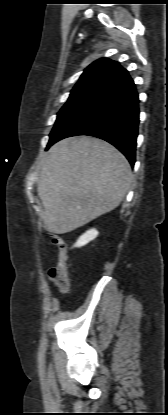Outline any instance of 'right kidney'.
Returning a JSON list of instances; mask_svg holds the SVG:
<instances>
[{
	"label": "right kidney",
	"mask_w": 168,
	"mask_h": 415,
	"mask_svg": "<svg viewBox=\"0 0 168 415\" xmlns=\"http://www.w3.org/2000/svg\"><path fill=\"white\" fill-rule=\"evenodd\" d=\"M97 236H98V231L96 229H90L79 237L74 247H82L86 245L87 243H89L90 241L94 240Z\"/></svg>",
	"instance_id": "ca27d5eb"
}]
</instances>
